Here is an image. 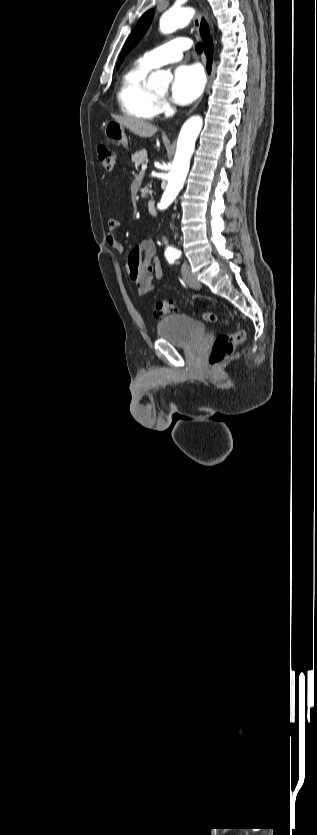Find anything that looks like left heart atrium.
I'll return each mask as SVG.
<instances>
[{
	"label": "left heart atrium",
	"mask_w": 317,
	"mask_h": 835,
	"mask_svg": "<svg viewBox=\"0 0 317 835\" xmlns=\"http://www.w3.org/2000/svg\"><path fill=\"white\" fill-rule=\"evenodd\" d=\"M205 79L197 65H181L176 68L171 85L173 102L186 105L193 102L202 92Z\"/></svg>",
	"instance_id": "obj_1"
}]
</instances>
